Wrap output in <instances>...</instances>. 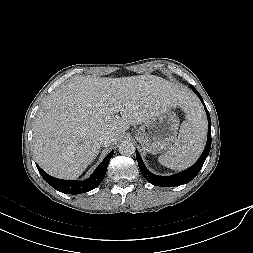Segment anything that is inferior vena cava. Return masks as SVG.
Segmentation results:
<instances>
[{"label": "inferior vena cava", "instance_id": "inferior-vena-cava-1", "mask_svg": "<svg viewBox=\"0 0 253 253\" xmlns=\"http://www.w3.org/2000/svg\"><path fill=\"white\" fill-rule=\"evenodd\" d=\"M113 140V136L109 132H104L100 135L99 141L103 146L109 145Z\"/></svg>", "mask_w": 253, "mask_h": 253}]
</instances>
